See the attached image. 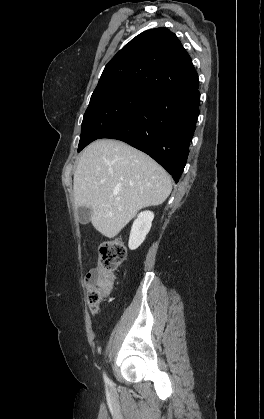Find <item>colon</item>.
Returning a JSON list of instances; mask_svg holds the SVG:
<instances>
[{
  "instance_id": "colon-1",
  "label": "colon",
  "mask_w": 264,
  "mask_h": 419,
  "mask_svg": "<svg viewBox=\"0 0 264 419\" xmlns=\"http://www.w3.org/2000/svg\"><path fill=\"white\" fill-rule=\"evenodd\" d=\"M125 257L126 248L119 240L100 245L98 268L89 272L86 277L88 302L93 312L98 310L102 299L111 293L114 286V272Z\"/></svg>"
}]
</instances>
